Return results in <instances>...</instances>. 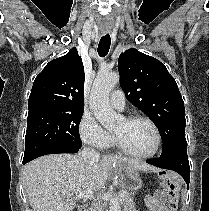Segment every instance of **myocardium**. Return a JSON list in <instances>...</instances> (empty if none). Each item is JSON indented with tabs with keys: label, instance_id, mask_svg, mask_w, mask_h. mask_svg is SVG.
<instances>
[{
	"label": "myocardium",
	"instance_id": "obj_1",
	"mask_svg": "<svg viewBox=\"0 0 209 211\" xmlns=\"http://www.w3.org/2000/svg\"><path fill=\"white\" fill-rule=\"evenodd\" d=\"M127 122H136V121H142L147 123L153 130L154 135H155V145L154 148L145 154H135L133 152H130L128 149L125 148V146L123 145V143L121 142L120 138L114 134V141H115V145L117 147V149L125 154L128 157H131L133 159H137V160H147V159H151L154 156H156L158 154V152L160 151L161 148V144H162V137H161V133L160 130L158 128V126L156 125V123L150 119L147 116H143V115H133L130 116L128 118L125 119Z\"/></svg>",
	"mask_w": 209,
	"mask_h": 211
}]
</instances>
